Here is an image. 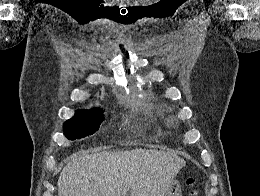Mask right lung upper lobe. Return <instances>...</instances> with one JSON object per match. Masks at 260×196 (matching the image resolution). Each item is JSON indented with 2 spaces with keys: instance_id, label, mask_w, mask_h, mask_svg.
Returning <instances> with one entry per match:
<instances>
[{
  "instance_id": "cb5924a9",
  "label": "right lung upper lobe",
  "mask_w": 260,
  "mask_h": 196,
  "mask_svg": "<svg viewBox=\"0 0 260 196\" xmlns=\"http://www.w3.org/2000/svg\"><path fill=\"white\" fill-rule=\"evenodd\" d=\"M85 111H90V110H85ZM93 111H98L97 109H94ZM101 111V110H100Z\"/></svg>"
}]
</instances>
